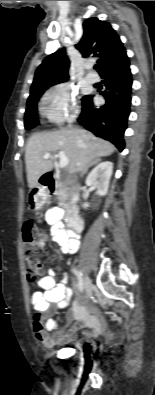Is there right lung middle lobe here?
I'll return each instance as SVG.
<instances>
[{
  "label": "right lung middle lobe",
  "instance_id": "dd1d6c3e",
  "mask_svg": "<svg viewBox=\"0 0 155 395\" xmlns=\"http://www.w3.org/2000/svg\"><path fill=\"white\" fill-rule=\"evenodd\" d=\"M48 87L40 90L39 92H37L35 95H33L31 98L28 99L27 108L25 112V122H24L26 129H31L38 125V119L36 117V111H37L36 104L40 96Z\"/></svg>",
  "mask_w": 155,
  "mask_h": 395
}]
</instances>
